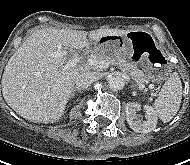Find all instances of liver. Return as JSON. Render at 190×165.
I'll return each mask as SVG.
<instances>
[{
	"label": "liver",
	"mask_w": 190,
	"mask_h": 165,
	"mask_svg": "<svg viewBox=\"0 0 190 165\" xmlns=\"http://www.w3.org/2000/svg\"><path fill=\"white\" fill-rule=\"evenodd\" d=\"M129 30L100 28L86 31L42 28L34 31L9 59L2 76V94L21 117L34 123H53L64 114L75 79L85 65L64 69L63 48L83 49L104 35L124 36Z\"/></svg>",
	"instance_id": "6515ba94"
}]
</instances>
